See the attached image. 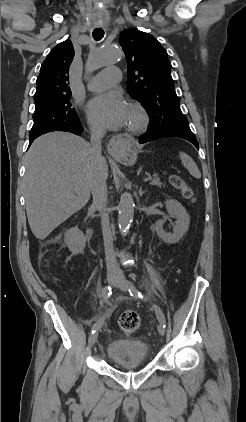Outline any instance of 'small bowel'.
Here are the masks:
<instances>
[{"label": "small bowel", "mask_w": 246, "mask_h": 422, "mask_svg": "<svg viewBox=\"0 0 246 422\" xmlns=\"http://www.w3.org/2000/svg\"><path fill=\"white\" fill-rule=\"evenodd\" d=\"M113 308H114V304H113V302H110L108 304V308H107V314H106L107 316L110 315V313L112 312Z\"/></svg>", "instance_id": "obj_1"}]
</instances>
